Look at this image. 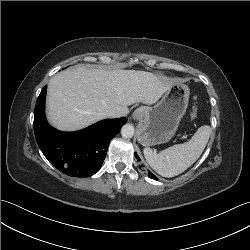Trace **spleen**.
Here are the masks:
<instances>
[{"label": "spleen", "instance_id": "obj_1", "mask_svg": "<svg viewBox=\"0 0 250 250\" xmlns=\"http://www.w3.org/2000/svg\"><path fill=\"white\" fill-rule=\"evenodd\" d=\"M211 134V127L201 126L189 142L177 144L160 153L150 148L144 149L148 164L163 177H174L195 163L205 149Z\"/></svg>", "mask_w": 250, "mask_h": 250}]
</instances>
